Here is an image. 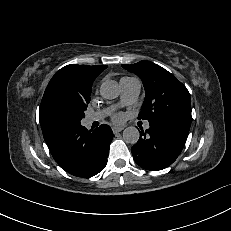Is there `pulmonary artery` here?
I'll return each mask as SVG.
<instances>
[{
	"instance_id": "obj_1",
	"label": "pulmonary artery",
	"mask_w": 231,
	"mask_h": 231,
	"mask_svg": "<svg viewBox=\"0 0 231 231\" xmlns=\"http://www.w3.org/2000/svg\"><path fill=\"white\" fill-rule=\"evenodd\" d=\"M120 88V105H129L137 100L141 90V82L135 77H124L120 80ZM108 111L109 110L106 109L94 113H89L85 117L86 124H91L95 121L101 120L108 113ZM144 128L148 129L149 124L146 123Z\"/></svg>"
}]
</instances>
